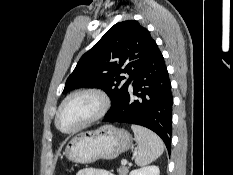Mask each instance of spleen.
<instances>
[{
	"instance_id": "3e777b00",
	"label": "spleen",
	"mask_w": 233,
	"mask_h": 175,
	"mask_svg": "<svg viewBox=\"0 0 233 175\" xmlns=\"http://www.w3.org/2000/svg\"><path fill=\"white\" fill-rule=\"evenodd\" d=\"M131 129L138 145V151L135 154V163L138 166L150 164L161 156L164 144L157 134L138 125H132Z\"/></svg>"
}]
</instances>
